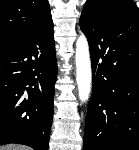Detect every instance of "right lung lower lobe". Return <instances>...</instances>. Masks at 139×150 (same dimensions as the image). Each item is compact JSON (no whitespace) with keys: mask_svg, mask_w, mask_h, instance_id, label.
I'll return each instance as SVG.
<instances>
[{"mask_svg":"<svg viewBox=\"0 0 139 150\" xmlns=\"http://www.w3.org/2000/svg\"><path fill=\"white\" fill-rule=\"evenodd\" d=\"M52 17L0 45V145L48 150L57 63Z\"/></svg>","mask_w":139,"mask_h":150,"instance_id":"right-lung-lower-lobe-1","label":"right lung lower lobe"}]
</instances>
